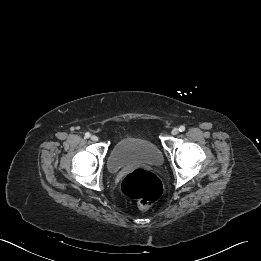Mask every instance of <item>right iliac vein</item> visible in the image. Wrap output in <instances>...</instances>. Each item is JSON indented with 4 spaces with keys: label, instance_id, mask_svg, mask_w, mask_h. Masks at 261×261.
Returning <instances> with one entry per match:
<instances>
[{
    "label": "right iliac vein",
    "instance_id": "obj_1",
    "mask_svg": "<svg viewBox=\"0 0 261 261\" xmlns=\"http://www.w3.org/2000/svg\"><path fill=\"white\" fill-rule=\"evenodd\" d=\"M91 140H92V141H95V142L98 141V136L92 135V136H91Z\"/></svg>",
    "mask_w": 261,
    "mask_h": 261
}]
</instances>
